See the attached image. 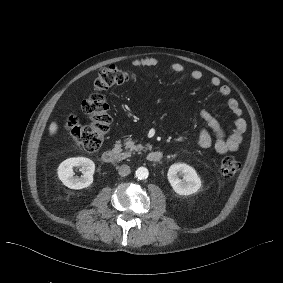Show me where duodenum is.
<instances>
[{
	"label": "duodenum",
	"instance_id": "410a0bca",
	"mask_svg": "<svg viewBox=\"0 0 283 283\" xmlns=\"http://www.w3.org/2000/svg\"><path fill=\"white\" fill-rule=\"evenodd\" d=\"M163 158V154L160 151H151L147 155V160L150 162H159ZM102 159L105 163L115 164L122 160V154L118 148L107 150L103 153Z\"/></svg>",
	"mask_w": 283,
	"mask_h": 283
}]
</instances>
